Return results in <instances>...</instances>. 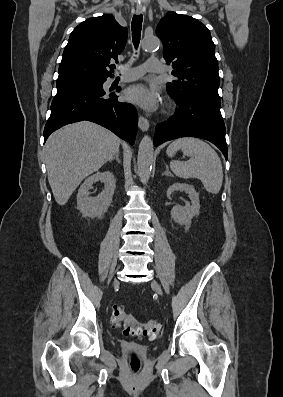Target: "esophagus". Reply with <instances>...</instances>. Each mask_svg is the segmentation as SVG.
<instances>
[{"mask_svg": "<svg viewBox=\"0 0 283 397\" xmlns=\"http://www.w3.org/2000/svg\"><path fill=\"white\" fill-rule=\"evenodd\" d=\"M143 12V8H142V6L141 5H138L137 7H136V14H141ZM138 125H139V128L142 130V131H147L148 129H149V121H148V119L147 118H145V117H143V116H139V120H138Z\"/></svg>", "mask_w": 283, "mask_h": 397, "instance_id": "34e87169", "label": "esophagus"}]
</instances>
